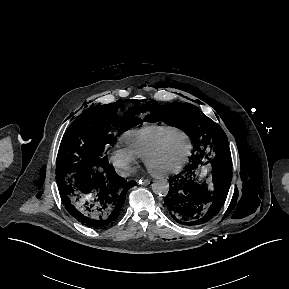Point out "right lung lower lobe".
<instances>
[{
  "mask_svg": "<svg viewBox=\"0 0 289 289\" xmlns=\"http://www.w3.org/2000/svg\"><path fill=\"white\" fill-rule=\"evenodd\" d=\"M135 186L116 174L107 157L84 164L59 185L66 210L83 225L106 229L122 212L127 191Z\"/></svg>",
  "mask_w": 289,
  "mask_h": 289,
  "instance_id": "1",
  "label": "right lung lower lobe"
}]
</instances>
